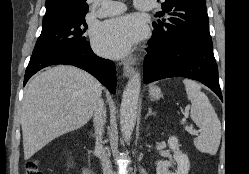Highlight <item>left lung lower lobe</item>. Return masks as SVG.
<instances>
[{"label": "left lung lower lobe", "instance_id": "left-lung-lower-lobe-1", "mask_svg": "<svg viewBox=\"0 0 249 174\" xmlns=\"http://www.w3.org/2000/svg\"><path fill=\"white\" fill-rule=\"evenodd\" d=\"M148 43L143 70L145 83L168 77H186L202 82L222 100L212 40L167 45L152 36Z\"/></svg>", "mask_w": 249, "mask_h": 174}]
</instances>
